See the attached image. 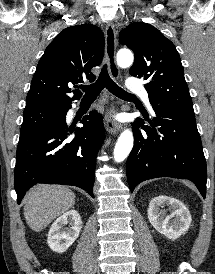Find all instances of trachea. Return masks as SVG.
I'll use <instances>...</instances> for the list:
<instances>
[{
	"mask_svg": "<svg viewBox=\"0 0 215 274\" xmlns=\"http://www.w3.org/2000/svg\"><path fill=\"white\" fill-rule=\"evenodd\" d=\"M106 87L110 92L118 97H135V95L126 92L119 87L109 76L107 65H104L97 81L90 85H81L80 88L85 92L84 97L95 98L99 95L102 89Z\"/></svg>",
	"mask_w": 215,
	"mask_h": 274,
	"instance_id": "3493384b",
	"label": "trachea"
}]
</instances>
